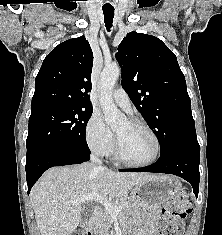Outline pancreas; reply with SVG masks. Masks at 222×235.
Wrapping results in <instances>:
<instances>
[{
	"mask_svg": "<svg viewBox=\"0 0 222 235\" xmlns=\"http://www.w3.org/2000/svg\"><path fill=\"white\" fill-rule=\"evenodd\" d=\"M113 205L121 206L120 214L126 218L135 215V204L130 199H117L112 201ZM111 216L105 209L97 218L92 222L95 235H106L109 230Z\"/></svg>",
	"mask_w": 222,
	"mask_h": 235,
	"instance_id": "obj_1",
	"label": "pancreas"
}]
</instances>
